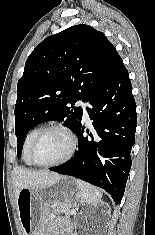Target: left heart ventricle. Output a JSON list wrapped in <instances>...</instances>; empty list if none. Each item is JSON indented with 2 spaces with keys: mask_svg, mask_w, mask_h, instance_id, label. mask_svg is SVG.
<instances>
[{
  "mask_svg": "<svg viewBox=\"0 0 155 235\" xmlns=\"http://www.w3.org/2000/svg\"><path fill=\"white\" fill-rule=\"evenodd\" d=\"M70 142L61 131H50L45 134L34 150V158L39 163H52L61 160L68 153Z\"/></svg>",
  "mask_w": 155,
  "mask_h": 235,
  "instance_id": "b2bd125f",
  "label": "left heart ventricle"
}]
</instances>
